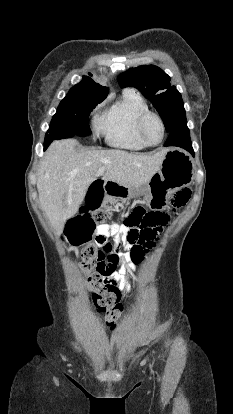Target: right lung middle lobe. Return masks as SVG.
Wrapping results in <instances>:
<instances>
[{"instance_id": "dd1d6c3e", "label": "right lung middle lobe", "mask_w": 233, "mask_h": 414, "mask_svg": "<svg viewBox=\"0 0 233 414\" xmlns=\"http://www.w3.org/2000/svg\"><path fill=\"white\" fill-rule=\"evenodd\" d=\"M100 102L102 100H97L88 94L70 90L59 104L57 112L51 120L50 128L60 131L58 139L71 138L75 135H90L88 117Z\"/></svg>"}]
</instances>
